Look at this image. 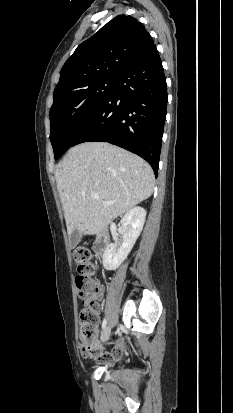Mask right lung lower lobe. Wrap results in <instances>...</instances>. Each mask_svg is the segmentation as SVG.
<instances>
[{
    "label": "right lung lower lobe",
    "mask_w": 233,
    "mask_h": 413,
    "mask_svg": "<svg viewBox=\"0 0 233 413\" xmlns=\"http://www.w3.org/2000/svg\"><path fill=\"white\" fill-rule=\"evenodd\" d=\"M166 107V78L154 44L116 75L112 92L71 147L109 142L141 156L157 177Z\"/></svg>",
    "instance_id": "right-lung-lower-lobe-1"
}]
</instances>
